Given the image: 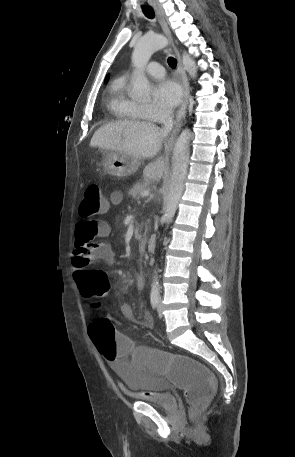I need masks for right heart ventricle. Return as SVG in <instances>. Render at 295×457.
Masks as SVG:
<instances>
[{"mask_svg": "<svg viewBox=\"0 0 295 457\" xmlns=\"http://www.w3.org/2000/svg\"><path fill=\"white\" fill-rule=\"evenodd\" d=\"M138 102L128 94V85L124 80L114 81L108 89V108L119 120L139 121L143 118Z\"/></svg>", "mask_w": 295, "mask_h": 457, "instance_id": "right-heart-ventricle-1", "label": "right heart ventricle"}]
</instances>
